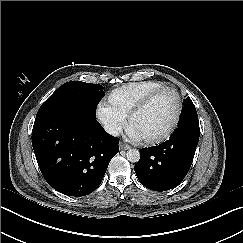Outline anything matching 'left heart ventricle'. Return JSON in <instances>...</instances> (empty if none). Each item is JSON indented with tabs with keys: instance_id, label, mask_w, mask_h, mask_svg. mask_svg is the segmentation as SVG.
I'll use <instances>...</instances> for the list:
<instances>
[{
	"instance_id": "obj_1",
	"label": "left heart ventricle",
	"mask_w": 243,
	"mask_h": 243,
	"mask_svg": "<svg viewBox=\"0 0 243 243\" xmlns=\"http://www.w3.org/2000/svg\"><path fill=\"white\" fill-rule=\"evenodd\" d=\"M175 107L176 96L165 93L145 106L134 121V127L146 136H156L169 124Z\"/></svg>"
}]
</instances>
